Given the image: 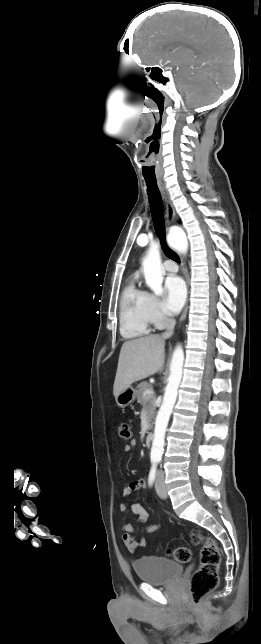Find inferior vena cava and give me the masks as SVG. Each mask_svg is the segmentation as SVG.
Listing matches in <instances>:
<instances>
[{"instance_id":"obj_1","label":"inferior vena cava","mask_w":261,"mask_h":644,"mask_svg":"<svg viewBox=\"0 0 261 644\" xmlns=\"http://www.w3.org/2000/svg\"><path fill=\"white\" fill-rule=\"evenodd\" d=\"M174 325H175V320L174 319H169V326L167 328V331L162 335L163 338H167L168 336H170L172 334L173 329H174Z\"/></svg>"}]
</instances>
